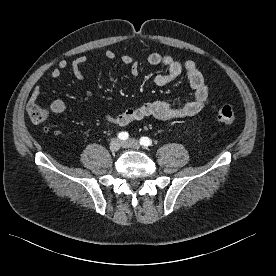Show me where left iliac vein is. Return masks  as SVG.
Instances as JSON below:
<instances>
[{"label": "left iliac vein", "instance_id": "1", "mask_svg": "<svg viewBox=\"0 0 276 276\" xmlns=\"http://www.w3.org/2000/svg\"><path fill=\"white\" fill-rule=\"evenodd\" d=\"M122 146L125 148L139 149L140 143L136 139H128V140L122 142Z\"/></svg>", "mask_w": 276, "mask_h": 276}]
</instances>
